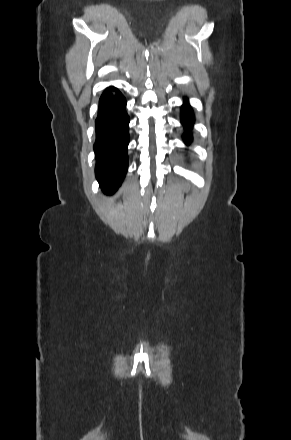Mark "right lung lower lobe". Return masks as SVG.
<instances>
[{"mask_svg":"<svg viewBox=\"0 0 291 440\" xmlns=\"http://www.w3.org/2000/svg\"><path fill=\"white\" fill-rule=\"evenodd\" d=\"M116 95L103 92L96 118V177L102 190L112 194L121 184L128 167L129 144L126 100L115 88Z\"/></svg>","mask_w":291,"mask_h":440,"instance_id":"1","label":"right lung lower lobe"}]
</instances>
